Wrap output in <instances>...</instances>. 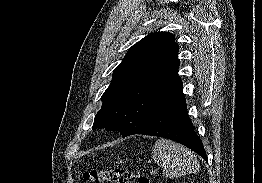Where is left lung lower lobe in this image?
Instances as JSON below:
<instances>
[{"mask_svg": "<svg viewBox=\"0 0 262 183\" xmlns=\"http://www.w3.org/2000/svg\"><path fill=\"white\" fill-rule=\"evenodd\" d=\"M183 86L162 103L146 125L135 134L158 136L174 140L199 154L207 162L201 139L188 116Z\"/></svg>", "mask_w": 262, "mask_h": 183, "instance_id": "0a47b994", "label": "left lung lower lobe"}]
</instances>
